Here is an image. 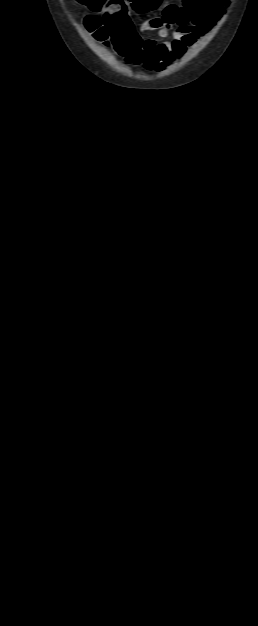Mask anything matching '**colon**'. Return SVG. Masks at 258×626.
Here are the masks:
<instances>
[{
    "label": "colon",
    "instance_id": "1",
    "mask_svg": "<svg viewBox=\"0 0 258 626\" xmlns=\"http://www.w3.org/2000/svg\"><path fill=\"white\" fill-rule=\"evenodd\" d=\"M80 4L93 8L95 10H102L109 4L108 0H77ZM133 6L141 10L154 9L160 0H129ZM101 21L99 17L95 15H89L85 19V25L90 32L100 25Z\"/></svg>",
    "mask_w": 258,
    "mask_h": 626
}]
</instances>
